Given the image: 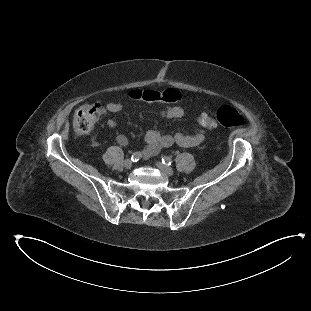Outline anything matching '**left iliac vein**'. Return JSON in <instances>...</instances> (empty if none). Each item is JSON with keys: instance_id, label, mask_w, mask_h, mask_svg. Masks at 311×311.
Masks as SVG:
<instances>
[{"instance_id": "obj_1", "label": "left iliac vein", "mask_w": 311, "mask_h": 311, "mask_svg": "<svg viewBox=\"0 0 311 311\" xmlns=\"http://www.w3.org/2000/svg\"><path fill=\"white\" fill-rule=\"evenodd\" d=\"M156 167L162 172L164 173L165 175L167 176H172L173 175V169L161 162H156Z\"/></svg>"}]
</instances>
